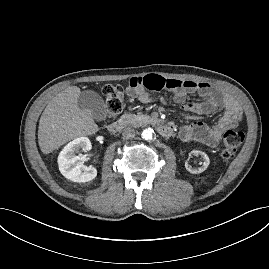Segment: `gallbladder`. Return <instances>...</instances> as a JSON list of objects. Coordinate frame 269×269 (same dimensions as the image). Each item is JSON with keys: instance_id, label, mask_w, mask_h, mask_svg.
Here are the masks:
<instances>
[{"instance_id": "obj_1", "label": "gallbladder", "mask_w": 269, "mask_h": 269, "mask_svg": "<svg viewBox=\"0 0 269 269\" xmlns=\"http://www.w3.org/2000/svg\"><path fill=\"white\" fill-rule=\"evenodd\" d=\"M78 107L81 110L90 112L96 121H103L107 117V110L103 99L93 90L82 91L78 97Z\"/></svg>"}]
</instances>
